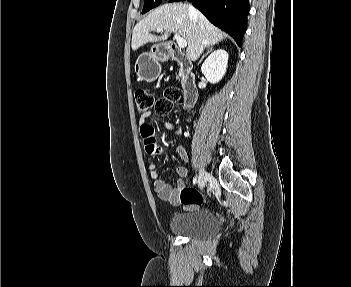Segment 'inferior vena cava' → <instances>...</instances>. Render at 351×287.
<instances>
[{"label": "inferior vena cava", "mask_w": 351, "mask_h": 287, "mask_svg": "<svg viewBox=\"0 0 351 287\" xmlns=\"http://www.w3.org/2000/svg\"><path fill=\"white\" fill-rule=\"evenodd\" d=\"M189 10H190L191 13H194V12H195L194 7H192V6H189Z\"/></svg>", "instance_id": "inferior-vena-cava-1"}]
</instances>
